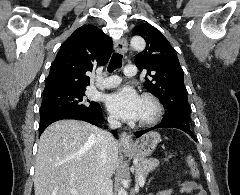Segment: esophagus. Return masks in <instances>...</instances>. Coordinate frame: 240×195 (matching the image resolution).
<instances>
[{
	"mask_svg": "<svg viewBox=\"0 0 240 195\" xmlns=\"http://www.w3.org/2000/svg\"><path fill=\"white\" fill-rule=\"evenodd\" d=\"M114 49L117 53L127 52V40L126 38H121L114 44ZM119 143L123 148H131L133 145V139L131 135L127 132H122L119 137Z\"/></svg>",
	"mask_w": 240,
	"mask_h": 195,
	"instance_id": "esophagus-1",
	"label": "esophagus"
}]
</instances>
